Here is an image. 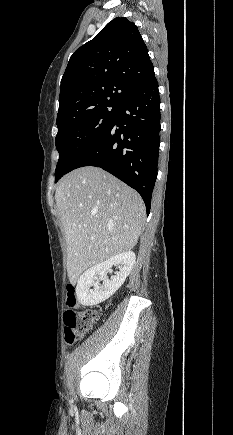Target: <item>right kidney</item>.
Segmentation results:
<instances>
[{
	"label": "right kidney",
	"instance_id": "1",
	"mask_svg": "<svg viewBox=\"0 0 233 435\" xmlns=\"http://www.w3.org/2000/svg\"><path fill=\"white\" fill-rule=\"evenodd\" d=\"M135 260L134 252L126 251L86 270L78 279L75 289L78 302L83 306H94L107 300L122 286ZM113 266L118 267L119 271L108 279L107 271ZM99 281H103V284L99 285Z\"/></svg>",
	"mask_w": 233,
	"mask_h": 435
}]
</instances>
